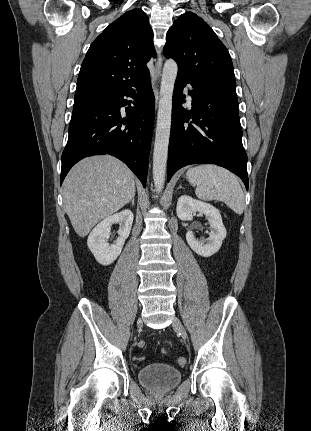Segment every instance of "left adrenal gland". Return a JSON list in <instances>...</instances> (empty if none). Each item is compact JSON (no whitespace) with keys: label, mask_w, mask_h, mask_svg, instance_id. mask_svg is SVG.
<instances>
[{"label":"left adrenal gland","mask_w":311,"mask_h":431,"mask_svg":"<svg viewBox=\"0 0 311 431\" xmlns=\"http://www.w3.org/2000/svg\"><path fill=\"white\" fill-rule=\"evenodd\" d=\"M182 186H179V188H177V190H181ZM182 190H185V188H182Z\"/></svg>","instance_id":"a2214340"}]
</instances>
